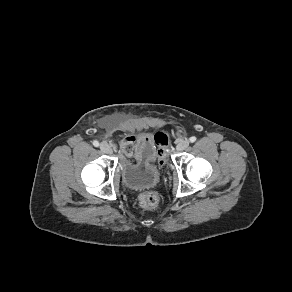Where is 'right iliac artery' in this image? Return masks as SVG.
<instances>
[{"label":"right iliac artery","mask_w":292,"mask_h":292,"mask_svg":"<svg viewBox=\"0 0 292 292\" xmlns=\"http://www.w3.org/2000/svg\"><path fill=\"white\" fill-rule=\"evenodd\" d=\"M93 145H94L95 147H98V146H99V142H98L97 140H94V141H93Z\"/></svg>","instance_id":"1"}]
</instances>
